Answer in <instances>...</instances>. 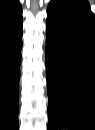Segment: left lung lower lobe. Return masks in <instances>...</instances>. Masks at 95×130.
Here are the masks:
<instances>
[{
  "mask_svg": "<svg viewBox=\"0 0 95 130\" xmlns=\"http://www.w3.org/2000/svg\"><path fill=\"white\" fill-rule=\"evenodd\" d=\"M49 124L95 127V23L83 14L51 13L46 22Z\"/></svg>",
  "mask_w": 95,
  "mask_h": 130,
  "instance_id": "obj_1",
  "label": "left lung lower lobe"
}]
</instances>
